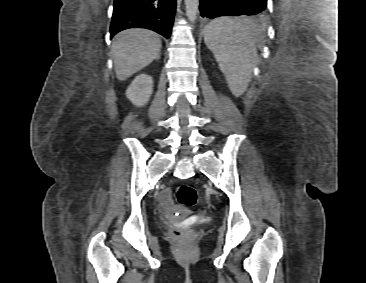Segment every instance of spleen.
<instances>
[{
	"mask_svg": "<svg viewBox=\"0 0 366 283\" xmlns=\"http://www.w3.org/2000/svg\"><path fill=\"white\" fill-rule=\"evenodd\" d=\"M258 35L257 26L247 19L222 17L205 27L204 41L236 96L247 90L252 78L258 57L255 42Z\"/></svg>",
	"mask_w": 366,
	"mask_h": 283,
	"instance_id": "spleen-1",
	"label": "spleen"
}]
</instances>
